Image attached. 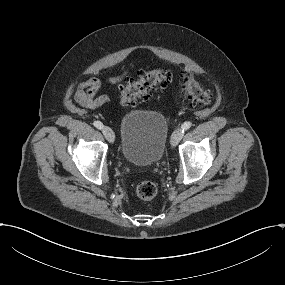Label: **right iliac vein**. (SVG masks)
Masks as SVG:
<instances>
[{
	"mask_svg": "<svg viewBox=\"0 0 285 285\" xmlns=\"http://www.w3.org/2000/svg\"><path fill=\"white\" fill-rule=\"evenodd\" d=\"M103 134H104V136H105V138L109 141V142H111V143H113L114 142V133H113V131H112V129L110 128V127H108V126H105L104 128H103Z\"/></svg>",
	"mask_w": 285,
	"mask_h": 285,
	"instance_id": "1",
	"label": "right iliac vein"
}]
</instances>
